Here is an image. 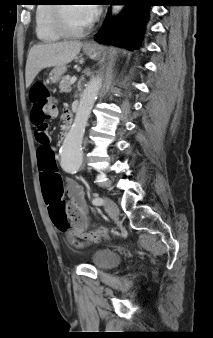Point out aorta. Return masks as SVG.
I'll return each mask as SVG.
<instances>
[{"label": "aorta", "mask_w": 213, "mask_h": 338, "mask_svg": "<svg viewBox=\"0 0 213 338\" xmlns=\"http://www.w3.org/2000/svg\"><path fill=\"white\" fill-rule=\"evenodd\" d=\"M121 9V6H114L112 13L117 14ZM100 85L101 79L97 76L89 82L80 97L74 122L61 147V167L66 172H77L82 166L83 137Z\"/></svg>", "instance_id": "1"}]
</instances>
